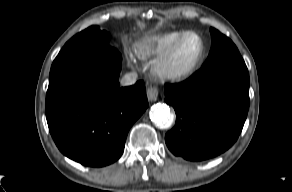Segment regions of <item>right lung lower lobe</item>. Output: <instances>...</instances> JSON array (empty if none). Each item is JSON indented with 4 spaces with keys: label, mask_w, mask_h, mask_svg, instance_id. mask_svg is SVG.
<instances>
[{
    "label": "right lung lower lobe",
    "mask_w": 292,
    "mask_h": 192,
    "mask_svg": "<svg viewBox=\"0 0 292 192\" xmlns=\"http://www.w3.org/2000/svg\"><path fill=\"white\" fill-rule=\"evenodd\" d=\"M121 54L112 46L62 49L46 94L49 131L59 150L101 167L123 153L129 129L148 107L143 81L120 87Z\"/></svg>",
    "instance_id": "98d812e1"
}]
</instances>
